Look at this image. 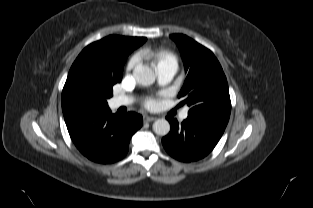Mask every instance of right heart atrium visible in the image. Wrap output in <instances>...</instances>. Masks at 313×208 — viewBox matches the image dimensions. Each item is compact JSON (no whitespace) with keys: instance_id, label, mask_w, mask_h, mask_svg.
Wrapping results in <instances>:
<instances>
[{"instance_id":"d8ad5b80","label":"right heart atrium","mask_w":313,"mask_h":208,"mask_svg":"<svg viewBox=\"0 0 313 208\" xmlns=\"http://www.w3.org/2000/svg\"><path fill=\"white\" fill-rule=\"evenodd\" d=\"M137 63V59L133 57L127 64V71L131 70Z\"/></svg>"}]
</instances>
